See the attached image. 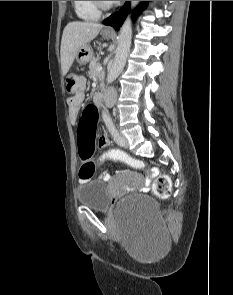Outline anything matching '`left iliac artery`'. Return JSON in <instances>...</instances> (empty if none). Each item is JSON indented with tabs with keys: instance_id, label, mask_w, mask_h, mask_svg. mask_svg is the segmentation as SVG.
Segmentation results:
<instances>
[{
	"instance_id": "left-iliac-artery-1",
	"label": "left iliac artery",
	"mask_w": 233,
	"mask_h": 295,
	"mask_svg": "<svg viewBox=\"0 0 233 295\" xmlns=\"http://www.w3.org/2000/svg\"><path fill=\"white\" fill-rule=\"evenodd\" d=\"M104 121H105L106 126L109 129L113 139L115 140V142L119 145L120 144L123 145L125 142L123 140H121V137H120L117 129L115 128L112 119L108 116V117L104 118Z\"/></svg>"
}]
</instances>
